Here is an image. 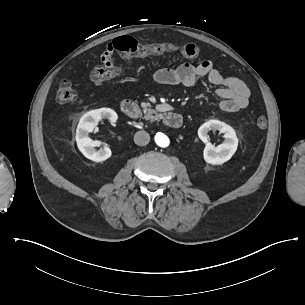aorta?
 <instances>
[{"label":"aorta","instance_id":"1","mask_svg":"<svg viewBox=\"0 0 305 305\" xmlns=\"http://www.w3.org/2000/svg\"><path fill=\"white\" fill-rule=\"evenodd\" d=\"M155 142L158 146L165 148L169 145L170 140L165 134L157 133L155 135Z\"/></svg>","mask_w":305,"mask_h":305}]
</instances>
